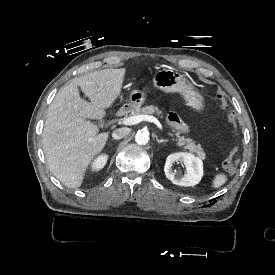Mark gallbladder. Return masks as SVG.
Listing matches in <instances>:
<instances>
[{
    "instance_id": "bac80fb5",
    "label": "gallbladder",
    "mask_w": 275,
    "mask_h": 275,
    "mask_svg": "<svg viewBox=\"0 0 275 275\" xmlns=\"http://www.w3.org/2000/svg\"><path fill=\"white\" fill-rule=\"evenodd\" d=\"M103 125V122L102 121H99V126L101 127Z\"/></svg>"
}]
</instances>
